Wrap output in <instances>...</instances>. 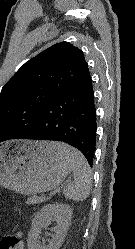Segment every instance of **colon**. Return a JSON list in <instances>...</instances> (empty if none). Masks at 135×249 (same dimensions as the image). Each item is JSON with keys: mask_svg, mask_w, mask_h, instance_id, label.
Wrapping results in <instances>:
<instances>
[{"mask_svg": "<svg viewBox=\"0 0 135 249\" xmlns=\"http://www.w3.org/2000/svg\"><path fill=\"white\" fill-rule=\"evenodd\" d=\"M0 249H23V243L18 234L5 235L0 242Z\"/></svg>", "mask_w": 135, "mask_h": 249, "instance_id": "1", "label": "colon"}]
</instances>
